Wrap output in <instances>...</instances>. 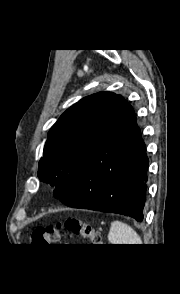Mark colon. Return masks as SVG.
I'll list each match as a JSON object with an SVG mask.
<instances>
[{
  "instance_id": "1",
  "label": "colon",
  "mask_w": 180,
  "mask_h": 294,
  "mask_svg": "<svg viewBox=\"0 0 180 294\" xmlns=\"http://www.w3.org/2000/svg\"><path fill=\"white\" fill-rule=\"evenodd\" d=\"M66 228L69 232L80 235L89 239L92 243L98 244L100 237L94 227L88 223L77 218H67L62 223L39 227L34 230L32 240L36 244H43L48 246L56 245L60 239L61 229Z\"/></svg>"
}]
</instances>
